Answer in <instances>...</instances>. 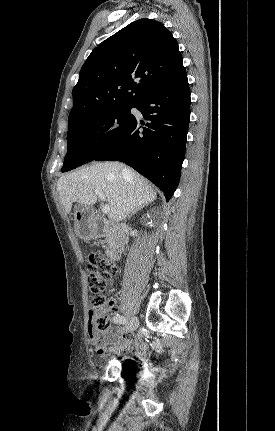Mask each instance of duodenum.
<instances>
[{
  "label": "duodenum",
  "mask_w": 275,
  "mask_h": 431,
  "mask_svg": "<svg viewBox=\"0 0 275 431\" xmlns=\"http://www.w3.org/2000/svg\"><path fill=\"white\" fill-rule=\"evenodd\" d=\"M101 232H108L110 234L111 241L108 248L109 257L113 260H119L126 244L127 238L125 231L109 220L95 217L91 222V233L97 236L101 234Z\"/></svg>",
  "instance_id": "obj_1"
}]
</instances>
